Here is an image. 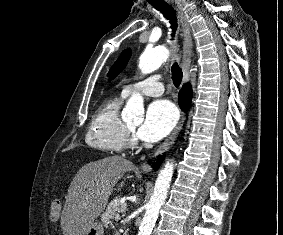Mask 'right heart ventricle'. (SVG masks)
<instances>
[{
	"instance_id": "obj_1",
	"label": "right heart ventricle",
	"mask_w": 283,
	"mask_h": 235,
	"mask_svg": "<svg viewBox=\"0 0 283 235\" xmlns=\"http://www.w3.org/2000/svg\"><path fill=\"white\" fill-rule=\"evenodd\" d=\"M123 96L105 100L95 111L87 129L85 142L95 150L119 153L124 149V127L119 110Z\"/></svg>"
}]
</instances>
